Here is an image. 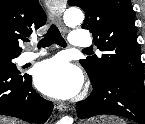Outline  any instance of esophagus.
<instances>
[{
	"label": "esophagus",
	"mask_w": 145,
	"mask_h": 124,
	"mask_svg": "<svg viewBox=\"0 0 145 124\" xmlns=\"http://www.w3.org/2000/svg\"><path fill=\"white\" fill-rule=\"evenodd\" d=\"M47 2H49V4H47L48 10H49V17L51 18L53 22L57 24V26L62 32H65L66 27L64 26L62 22L63 8L61 7V4L59 2L46 0V3ZM57 108L61 112H64L67 110V106L63 103L58 104Z\"/></svg>",
	"instance_id": "obj_1"
}]
</instances>
